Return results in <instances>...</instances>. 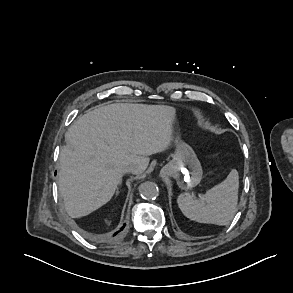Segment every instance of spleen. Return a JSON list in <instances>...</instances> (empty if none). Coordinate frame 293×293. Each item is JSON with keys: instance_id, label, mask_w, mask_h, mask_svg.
Wrapping results in <instances>:
<instances>
[{"instance_id": "spleen-1", "label": "spleen", "mask_w": 293, "mask_h": 293, "mask_svg": "<svg viewBox=\"0 0 293 293\" xmlns=\"http://www.w3.org/2000/svg\"><path fill=\"white\" fill-rule=\"evenodd\" d=\"M239 175L232 169L227 178L208 190L201 199L189 193L177 199L182 213L199 223L228 225L237 211Z\"/></svg>"}]
</instances>
